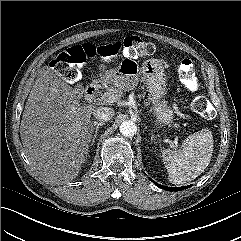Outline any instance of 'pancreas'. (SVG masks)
Here are the masks:
<instances>
[{"mask_svg": "<svg viewBox=\"0 0 241 241\" xmlns=\"http://www.w3.org/2000/svg\"><path fill=\"white\" fill-rule=\"evenodd\" d=\"M107 92L113 93V94H118L119 96H121V90L119 88H116L114 86H110L107 90Z\"/></svg>", "mask_w": 241, "mask_h": 241, "instance_id": "1", "label": "pancreas"}]
</instances>
